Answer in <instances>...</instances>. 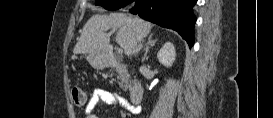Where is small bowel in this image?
<instances>
[{"mask_svg": "<svg viewBox=\"0 0 273 118\" xmlns=\"http://www.w3.org/2000/svg\"><path fill=\"white\" fill-rule=\"evenodd\" d=\"M99 102H103L110 105H121L127 107V109L133 114H139L141 112L140 107L126 105V102L121 97L113 94L112 92L105 89L96 90L92 96L89 98L84 113L85 115H91V112L96 107Z\"/></svg>", "mask_w": 273, "mask_h": 118, "instance_id": "small-bowel-1", "label": "small bowel"}]
</instances>
